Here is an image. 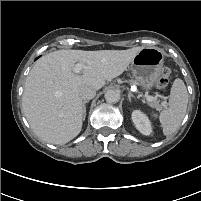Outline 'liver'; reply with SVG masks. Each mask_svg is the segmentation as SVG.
<instances>
[{"mask_svg":"<svg viewBox=\"0 0 201 201\" xmlns=\"http://www.w3.org/2000/svg\"><path fill=\"white\" fill-rule=\"evenodd\" d=\"M58 50L42 56L31 69L22 96V111L34 133L44 142L66 144L81 131V87L101 89L121 75L141 50ZM82 63V75L74 73Z\"/></svg>","mask_w":201,"mask_h":201,"instance_id":"obj_1","label":"liver"}]
</instances>
